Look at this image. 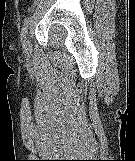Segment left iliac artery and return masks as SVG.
I'll list each match as a JSON object with an SVG mask.
<instances>
[{"label":"left iliac artery","mask_w":135,"mask_h":161,"mask_svg":"<svg viewBox=\"0 0 135 161\" xmlns=\"http://www.w3.org/2000/svg\"><path fill=\"white\" fill-rule=\"evenodd\" d=\"M29 22H30V18H26L24 20V23L22 25V28H21V39H25L26 37V33H27V30H28V25H29Z\"/></svg>","instance_id":"left-iliac-artery-1"}]
</instances>
